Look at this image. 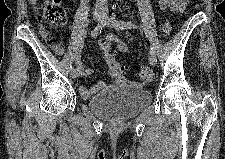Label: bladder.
<instances>
[{"instance_id": "obj_1", "label": "bladder", "mask_w": 225, "mask_h": 159, "mask_svg": "<svg viewBox=\"0 0 225 159\" xmlns=\"http://www.w3.org/2000/svg\"><path fill=\"white\" fill-rule=\"evenodd\" d=\"M151 104V95L132 84L109 86L88 100L91 111L106 120H127Z\"/></svg>"}]
</instances>
